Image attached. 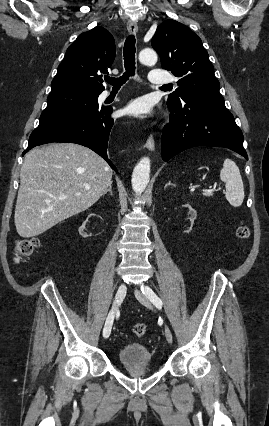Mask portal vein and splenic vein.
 Here are the masks:
<instances>
[{"label":"portal vein and splenic vein","instance_id":"18ae733b","mask_svg":"<svg viewBox=\"0 0 269 426\" xmlns=\"http://www.w3.org/2000/svg\"><path fill=\"white\" fill-rule=\"evenodd\" d=\"M203 191L206 192V193L212 194L214 191H217V189L211 188V189H206V190H203Z\"/></svg>","mask_w":269,"mask_h":426}]
</instances>
